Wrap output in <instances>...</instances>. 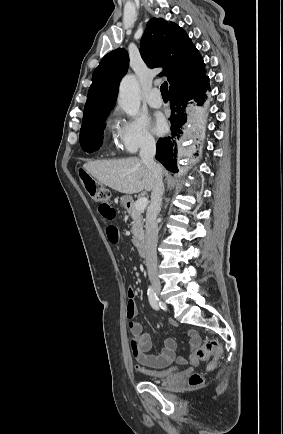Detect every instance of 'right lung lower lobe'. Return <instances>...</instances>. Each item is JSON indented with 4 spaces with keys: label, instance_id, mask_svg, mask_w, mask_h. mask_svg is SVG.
<instances>
[{
    "label": "right lung lower lobe",
    "instance_id": "right-lung-lower-lobe-1",
    "mask_svg": "<svg viewBox=\"0 0 283 434\" xmlns=\"http://www.w3.org/2000/svg\"><path fill=\"white\" fill-rule=\"evenodd\" d=\"M208 91H210L208 76H205L202 81L192 87L170 90V107L172 112L170 123L172 134L171 136L161 138L157 142L156 159L171 172H177L176 146L177 140L182 134V126L187 121L185 108L192 99L199 105H202Z\"/></svg>",
    "mask_w": 283,
    "mask_h": 434
}]
</instances>
